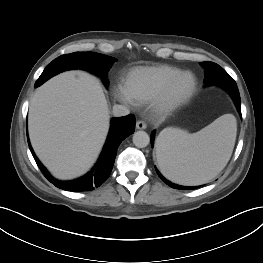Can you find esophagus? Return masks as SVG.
<instances>
[{"label": "esophagus", "mask_w": 263, "mask_h": 263, "mask_svg": "<svg viewBox=\"0 0 263 263\" xmlns=\"http://www.w3.org/2000/svg\"><path fill=\"white\" fill-rule=\"evenodd\" d=\"M146 127H147V125L145 122H143V121H137L136 122V128L137 129L142 130V129H146Z\"/></svg>", "instance_id": "1"}]
</instances>
